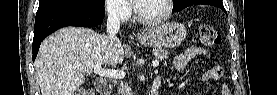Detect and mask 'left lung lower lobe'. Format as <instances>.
<instances>
[{
    "label": "left lung lower lobe",
    "mask_w": 277,
    "mask_h": 95,
    "mask_svg": "<svg viewBox=\"0 0 277 95\" xmlns=\"http://www.w3.org/2000/svg\"><path fill=\"white\" fill-rule=\"evenodd\" d=\"M196 4L213 5V6L221 8L226 13V10H225L222 2H214V1H210V0H200V1H197L193 4H191V5H196Z\"/></svg>",
    "instance_id": "left-lung-lower-lobe-1"
}]
</instances>
